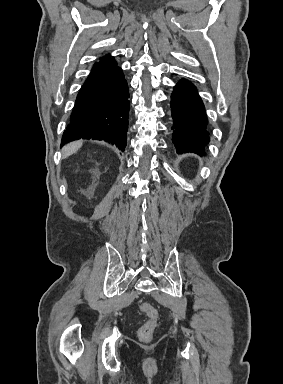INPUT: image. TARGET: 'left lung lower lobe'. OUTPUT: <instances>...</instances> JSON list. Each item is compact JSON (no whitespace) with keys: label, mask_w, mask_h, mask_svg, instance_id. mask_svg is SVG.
<instances>
[{"label":"left lung lower lobe","mask_w":283,"mask_h":384,"mask_svg":"<svg viewBox=\"0 0 283 384\" xmlns=\"http://www.w3.org/2000/svg\"><path fill=\"white\" fill-rule=\"evenodd\" d=\"M170 106L173 118L172 142L177 153L206 154V145L210 140L208 119L196 87L190 81L181 79L174 87Z\"/></svg>","instance_id":"1"}]
</instances>
